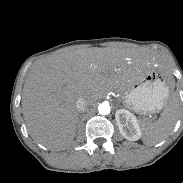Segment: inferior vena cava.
Instances as JSON below:
<instances>
[{
	"instance_id": "602c4592",
	"label": "inferior vena cava",
	"mask_w": 183,
	"mask_h": 183,
	"mask_svg": "<svg viewBox=\"0 0 183 183\" xmlns=\"http://www.w3.org/2000/svg\"><path fill=\"white\" fill-rule=\"evenodd\" d=\"M76 107L80 112L85 111V109L88 107V103L85 99L79 98L76 103Z\"/></svg>"
}]
</instances>
